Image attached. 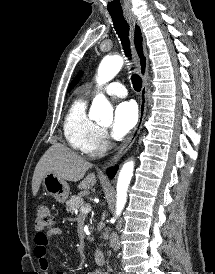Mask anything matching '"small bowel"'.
<instances>
[{
  "label": "small bowel",
  "mask_w": 215,
  "mask_h": 274,
  "mask_svg": "<svg viewBox=\"0 0 215 274\" xmlns=\"http://www.w3.org/2000/svg\"><path fill=\"white\" fill-rule=\"evenodd\" d=\"M63 230L61 228H51L47 232L37 233L34 237L35 249L34 254L38 259L40 268L48 274L50 271V263L48 259L47 248L53 236H62ZM56 274H65L64 272H57ZM87 274H105L100 270H95Z\"/></svg>",
  "instance_id": "small-bowel-1"
}]
</instances>
